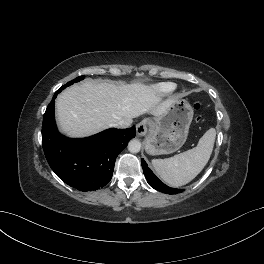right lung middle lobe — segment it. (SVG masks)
Wrapping results in <instances>:
<instances>
[{"instance_id":"1","label":"right lung middle lobe","mask_w":264,"mask_h":264,"mask_svg":"<svg viewBox=\"0 0 264 264\" xmlns=\"http://www.w3.org/2000/svg\"><path fill=\"white\" fill-rule=\"evenodd\" d=\"M82 79H84V76H79V77H77L76 79H74V80L68 82L66 85H63L59 90L61 91V90H63L66 86H69V85L73 84L74 82H78V81H80V80H82Z\"/></svg>"}]
</instances>
